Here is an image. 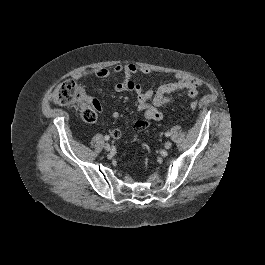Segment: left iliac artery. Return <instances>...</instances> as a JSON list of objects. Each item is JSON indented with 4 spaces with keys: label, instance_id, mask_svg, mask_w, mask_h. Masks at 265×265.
I'll return each instance as SVG.
<instances>
[{
    "label": "left iliac artery",
    "instance_id": "obj_1",
    "mask_svg": "<svg viewBox=\"0 0 265 265\" xmlns=\"http://www.w3.org/2000/svg\"><path fill=\"white\" fill-rule=\"evenodd\" d=\"M170 135H171L170 132H166V133H165V136H166V137H169Z\"/></svg>",
    "mask_w": 265,
    "mask_h": 265
}]
</instances>
